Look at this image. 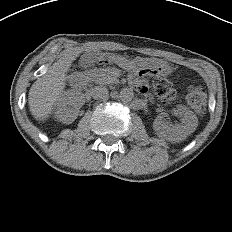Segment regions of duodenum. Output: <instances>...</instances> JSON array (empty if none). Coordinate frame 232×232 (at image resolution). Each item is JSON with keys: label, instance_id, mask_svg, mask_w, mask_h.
Returning <instances> with one entry per match:
<instances>
[{"label": "duodenum", "instance_id": "410a0bca", "mask_svg": "<svg viewBox=\"0 0 232 232\" xmlns=\"http://www.w3.org/2000/svg\"><path fill=\"white\" fill-rule=\"evenodd\" d=\"M86 82H87V77L82 75V76L76 77L73 83H74L75 88L79 89L83 87L86 84Z\"/></svg>", "mask_w": 232, "mask_h": 232}]
</instances>
